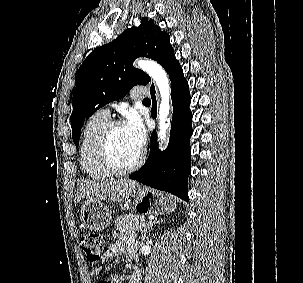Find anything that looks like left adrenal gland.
I'll list each match as a JSON object with an SVG mask.
<instances>
[{"label":"left adrenal gland","mask_w":303,"mask_h":283,"mask_svg":"<svg viewBox=\"0 0 303 283\" xmlns=\"http://www.w3.org/2000/svg\"><path fill=\"white\" fill-rule=\"evenodd\" d=\"M161 221L159 220H157V218H154L153 220H151L148 224H147V226L144 228V230L142 231V240L144 241L145 240V238H146V234H147V232H148V230L153 226V225H155V224H158V223H160Z\"/></svg>","instance_id":"1"}]
</instances>
